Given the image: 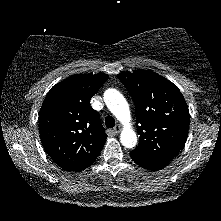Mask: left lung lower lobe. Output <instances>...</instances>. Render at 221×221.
<instances>
[{"mask_svg": "<svg viewBox=\"0 0 221 221\" xmlns=\"http://www.w3.org/2000/svg\"><path fill=\"white\" fill-rule=\"evenodd\" d=\"M132 160L137 163L139 166L148 169V170H159L168 165L167 162H158V161H150L146 159H142L136 156L131 155Z\"/></svg>", "mask_w": 221, "mask_h": 221, "instance_id": "left-lung-lower-lobe-1", "label": "left lung lower lobe"}]
</instances>
